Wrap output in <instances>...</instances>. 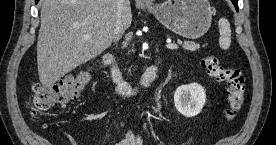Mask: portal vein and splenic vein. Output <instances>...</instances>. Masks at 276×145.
<instances>
[{"label": "portal vein and splenic vein", "instance_id": "portal-vein-and-splenic-vein-1", "mask_svg": "<svg viewBox=\"0 0 276 145\" xmlns=\"http://www.w3.org/2000/svg\"><path fill=\"white\" fill-rule=\"evenodd\" d=\"M89 37L90 36L88 34L84 35V39H89ZM166 47L168 49H172V50L178 48V46L176 44H173V43H167Z\"/></svg>", "mask_w": 276, "mask_h": 145}]
</instances>
